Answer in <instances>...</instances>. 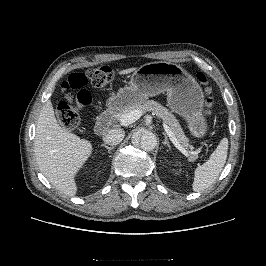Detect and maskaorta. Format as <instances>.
<instances>
[{
  "label": "aorta",
  "instance_id": "obj_1",
  "mask_svg": "<svg viewBox=\"0 0 266 266\" xmlns=\"http://www.w3.org/2000/svg\"><path fill=\"white\" fill-rule=\"evenodd\" d=\"M132 142L144 151H152L157 145V138L152 131L144 130L140 135H134Z\"/></svg>",
  "mask_w": 266,
  "mask_h": 266
}]
</instances>
